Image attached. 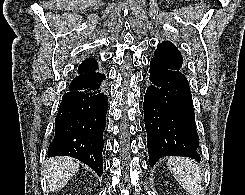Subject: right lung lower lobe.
I'll list each match as a JSON object with an SVG mask.
<instances>
[{"mask_svg":"<svg viewBox=\"0 0 245 195\" xmlns=\"http://www.w3.org/2000/svg\"><path fill=\"white\" fill-rule=\"evenodd\" d=\"M105 75L97 65L78 70L62 98L55 119V135L48 156L79 159L99 176L103 171V131L108 109Z\"/></svg>","mask_w":245,"mask_h":195,"instance_id":"1","label":"right lung lower lobe"}]
</instances>
